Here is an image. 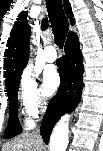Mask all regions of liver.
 <instances>
[{
    "label": "liver",
    "instance_id": "obj_1",
    "mask_svg": "<svg viewBox=\"0 0 103 151\" xmlns=\"http://www.w3.org/2000/svg\"><path fill=\"white\" fill-rule=\"evenodd\" d=\"M42 139L37 134H23L4 144L1 151H41Z\"/></svg>",
    "mask_w": 103,
    "mask_h": 151
}]
</instances>
